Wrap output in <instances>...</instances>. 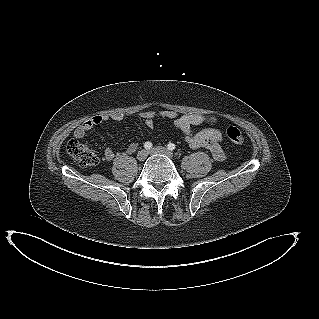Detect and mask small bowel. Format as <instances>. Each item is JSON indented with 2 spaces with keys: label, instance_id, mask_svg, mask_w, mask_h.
<instances>
[{
  "label": "small bowel",
  "instance_id": "c3829d8e",
  "mask_svg": "<svg viewBox=\"0 0 319 319\" xmlns=\"http://www.w3.org/2000/svg\"><path fill=\"white\" fill-rule=\"evenodd\" d=\"M167 118L174 120L175 128L183 135L184 141L193 149L206 148L209 150L216 160H224L225 152L221 146L222 133L218 129L208 128L199 132H193L192 127L204 123L213 124L216 118L212 115L202 114H180L173 110H161L158 112L147 110L139 112L132 116V119H142L144 125L148 128L154 126L155 118ZM123 115L116 113L113 115H96L89 118L74 130V137L77 139L83 138L88 131L97 125H100L109 120L121 121ZM137 149V144L131 142L125 149V154L130 155ZM116 156L113 148L107 147L103 153V159L107 162L112 161Z\"/></svg>",
  "mask_w": 319,
  "mask_h": 319
}]
</instances>
